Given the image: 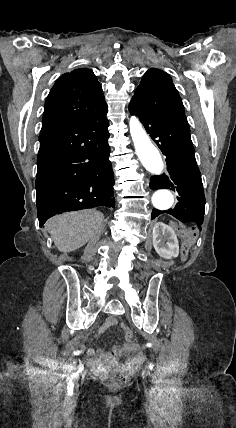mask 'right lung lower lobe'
<instances>
[{"label": "right lung lower lobe", "instance_id": "98d812e1", "mask_svg": "<svg viewBox=\"0 0 236 428\" xmlns=\"http://www.w3.org/2000/svg\"><path fill=\"white\" fill-rule=\"evenodd\" d=\"M106 114L40 133L36 176L40 226L63 212L115 207Z\"/></svg>", "mask_w": 236, "mask_h": 428}]
</instances>
